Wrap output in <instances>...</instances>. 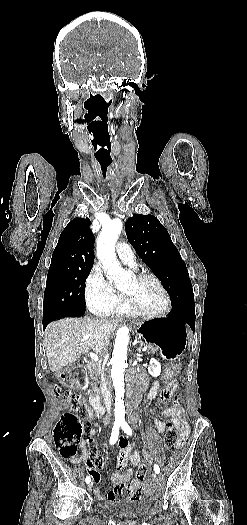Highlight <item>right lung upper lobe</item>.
Listing matches in <instances>:
<instances>
[{"mask_svg": "<svg viewBox=\"0 0 247 525\" xmlns=\"http://www.w3.org/2000/svg\"><path fill=\"white\" fill-rule=\"evenodd\" d=\"M88 218H74L60 234L49 271L92 269L93 239Z\"/></svg>", "mask_w": 247, "mask_h": 525, "instance_id": "obj_1", "label": "right lung upper lobe"}]
</instances>
